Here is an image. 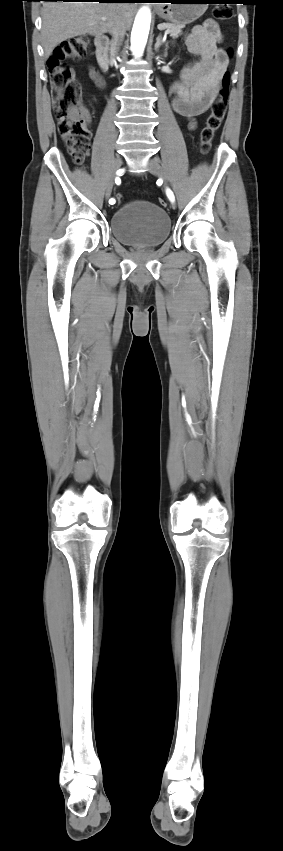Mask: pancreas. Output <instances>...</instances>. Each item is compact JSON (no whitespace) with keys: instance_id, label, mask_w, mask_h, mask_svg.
<instances>
[{"instance_id":"1","label":"pancreas","mask_w":283,"mask_h":851,"mask_svg":"<svg viewBox=\"0 0 283 851\" xmlns=\"http://www.w3.org/2000/svg\"><path fill=\"white\" fill-rule=\"evenodd\" d=\"M159 28L166 29L172 38H178L179 35L182 34L183 25H176L172 23H162L159 24Z\"/></svg>"}]
</instances>
